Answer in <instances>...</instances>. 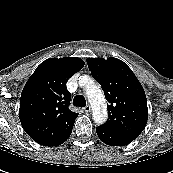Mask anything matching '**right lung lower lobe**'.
Wrapping results in <instances>:
<instances>
[{
	"label": "right lung lower lobe",
	"instance_id": "98d812e1",
	"mask_svg": "<svg viewBox=\"0 0 173 173\" xmlns=\"http://www.w3.org/2000/svg\"><path fill=\"white\" fill-rule=\"evenodd\" d=\"M73 128V126H72ZM72 128H70L62 137H60L59 139L51 142V143H48V144H45L44 146H58L62 143H64L71 135V132H72Z\"/></svg>",
	"mask_w": 173,
	"mask_h": 173
}]
</instances>
